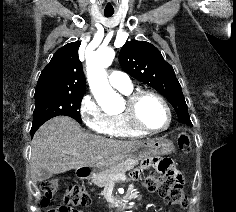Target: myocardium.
Wrapping results in <instances>:
<instances>
[{"mask_svg": "<svg viewBox=\"0 0 236 212\" xmlns=\"http://www.w3.org/2000/svg\"><path fill=\"white\" fill-rule=\"evenodd\" d=\"M146 96L154 97L165 107L168 115V122L163 128L150 129L141 123L139 117V106L142 99ZM120 114L124 117L130 127L143 134H158L164 132L171 126L173 120L172 110L167 100L158 92L149 89L133 90L126 95L124 107Z\"/></svg>", "mask_w": 236, "mask_h": 212, "instance_id": "myocardium-1", "label": "myocardium"}]
</instances>
